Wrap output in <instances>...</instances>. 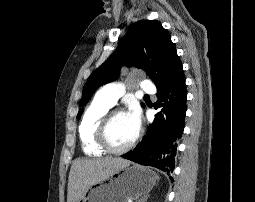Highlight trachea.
Instances as JSON below:
<instances>
[{"instance_id":"3493384b","label":"trachea","mask_w":255,"mask_h":202,"mask_svg":"<svg viewBox=\"0 0 255 202\" xmlns=\"http://www.w3.org/2000/svg\"><path fill=\"white\" fill-rule=\"evenodd\" d=\"M145 97H149V95L146 94Z\"/></svg>"}]
</instances>
